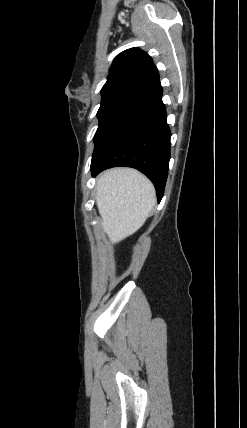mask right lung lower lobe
Masks as SVG:
<instances>
[{"label":"right lung lower lobe","instance_id":"98d812e1","mask_svg":"<svg viewBox=\"0 0 247 428\" xmlns=\"http://www.w3.org/2000/svg\"><path fill=\"white\" fill-rule=\"evenodd\" d=\"M160 82L139 94L103 130L92 155L91 171L133 167L154 184L163 197L170 160V129Z\"/></svg>","mask_w":247,"mask_h":428}]
</instances>
